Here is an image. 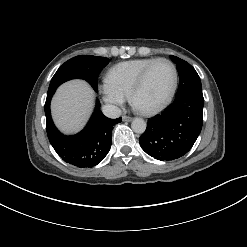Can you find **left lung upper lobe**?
I'll list each match as a JSON object with an SVG mask.
<instances>
[{
    "mask_svg": "<svg viewBox=\"0 0 247 247\" xmlns=\"http://www.w3.org/2000/svg\"><path fill=\"white\" fill-rule=\"evenodd\" d=\"M170 58L176 63L179 73L177 93L190 89H202L200 77L189 63L173 55H170Z\"/></svg>",
    "mask_w": 247,
    "mask_h": 247,
    "instance_id": "1",
    "label": "left lung upper lobe"
}]
</instances>
